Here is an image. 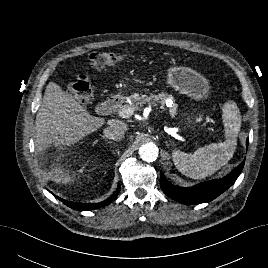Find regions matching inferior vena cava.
Here are the masks:
<instances>
[{
  "label": "inferior vena cava",
  "instance_id": "inferior-vena-cava-1",
  "mask_svg": "<svg viewBox=\"0 0 268 268\" xmlns=\"http://www.w3.org/2000/svg\"><path fill=\"white\" fill-rule=\"evenodd\" d=\"M104 136L112 140L124 138L125 128L119 124H111L103 130Z\"/></svg>",
  "mask_w": 268,
  "mask_h": 268
}]
</instances>
